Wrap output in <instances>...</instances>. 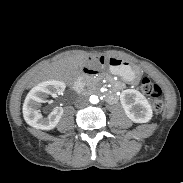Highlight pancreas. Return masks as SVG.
I'll use <instances>...</instances> for the list:
<instances>
[{
	"instance_id": "1",
	"label": "pancreas",
	"mask_w": 183,
	"mask_h": 183,
	"mask_svg": "<svg viewBox=\"0 0 183 183\" xmlns=\"http://www.w3.org/2000/svg\"><path fill=\"white\" fill-rule=\"evenodd\" d=\"M97 80H93L92 82H90L89 84H94L96 83Z\"/></svg>"
}]
</instances>
